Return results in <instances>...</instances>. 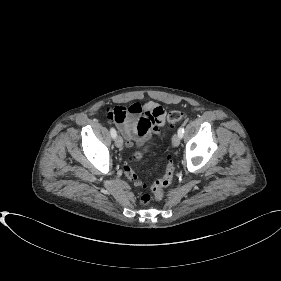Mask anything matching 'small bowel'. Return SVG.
Masks as SVG:
<instances>
[{
    "mask_svg": "<svg viewBox=\"0 0 281 281\" xmlns=\"http://www.w3.org/2000/svg\"><path fill=\"white\" fill-rule=\"evenodd\" d=\"M137 109L128 113L123 121L115 122L129 145H141L165 121L164 109L154 102L138 104Z\"/></svg>",
    "mask_w": 281,
    "mask_h": 281,
    "instance_id": "small-bowel-1",
    "label": "small bowel"
}]
</instances>
